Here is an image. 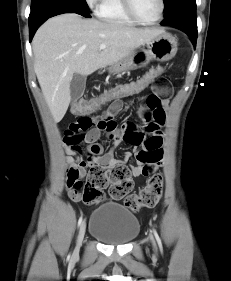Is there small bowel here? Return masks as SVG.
<instances>
[{"label": "small bowel", "instance_id": "obj_1", "mask_svg": "<svg viewBox=\"0 0 231 281\" xmlns=\"http://www.w3.org/2000/svg\"><path fill=\"white\" fill-rule=\"evenodd\" d=\"M152 93L146 98V105L141 109V127L126 123L120 129L115 121L116 115L122 109L120 100L112 101L101 116L85 114L70 123L64 132V158L66 167V187L68 195L74 201H80L73 193V184L81 181L88 168L101 166L106 169L125 165L132 154L126 152L117 159L113 150L104 152L98 143L101 131H104L114 148L126 142L134 148L136 162L130 165L134 177L153 174L161 165L163 159V133L161 127L166 122V111L169 106L172 89L170 82L164 77H158L151 83ZM148 134V137L144 135ZM81 143L86 146V158L82 157Z\"/></svg>", "mask_w": 231, "mask_h": 281}]
</instances>
